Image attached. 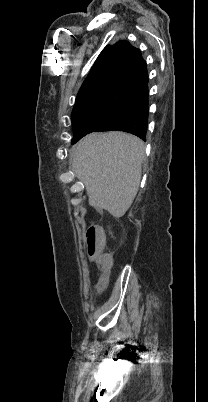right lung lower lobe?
<instances>
[{"instance_id":"right-lung-lower-lobe-1","label":"right lung lower lobe","mask_w":208,"mask_h":402,"mask_svg":"<svg viewBox=\"0 0 208 402\" xmlns=\"http://www.w3.org/2000/svg\"><path fill=\"white\" fill-rule=\"evenodd\" d=\"M119 91L121 110L116 116H94L73 123L74 131L90 132L118 130L134 134L144 141L148 124V74L146 62L138 54L110 84ZM82 136V137H83Z\"/></svg>"}]
</instances>
